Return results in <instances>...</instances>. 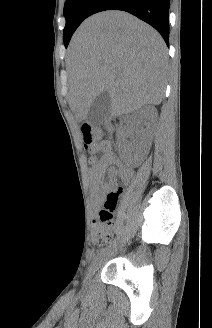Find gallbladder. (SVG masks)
<instances>
[{
    "instance_id": "1",
    "label": "gallbladder",
    "mask_w": 212,
    "mask_h": 328,
    "mask_svg": "<svg viewBox=\"0 0 212 328\" xmlns=\"http://www.w3.org/2000/svg\"><path fill=\"white\" fill-rule=\"evenodd\" d=\"M111 96L108 92L100 93L92 102L86 120L91 125L102 123L110 115Z\"/></svg>"
}]
</instances>
